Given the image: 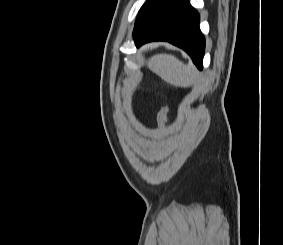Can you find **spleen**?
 I'll use <instances>...</instances> for the list:
<instances>
[{"instance_id":"3e777b00","label":"spleen","mask_w":283,"mask_h":245,"mask_svg":"<svg viewBox=\"0 0 283 245\" xmlns=\"http://www.w3.org/2000/svg\"><path fill=\"white\" fill-rule=\"evenodd\" d=\"M148 68L165 82L176 87H190L199 82L197 71L173 55L158 54L151 57Z\"/></svg>"}]
</instances>
